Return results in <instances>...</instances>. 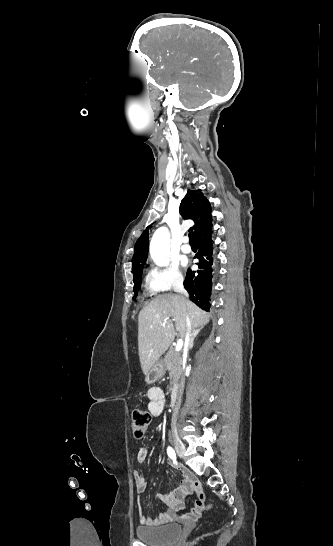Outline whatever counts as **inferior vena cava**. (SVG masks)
<instances>
[{
    "label": "inferior vena cava",
    "mask_w": 333,
    "mask_h": 546,
    "mask_svg": "<svg viewBox=\"0 0 333 546\" xmlns=\"http://www.w3.org/2000/svg\"><path fill=\"white\" fill-rule=\"evenodd\" d=\"M174 291L188 297V293L184 289L182 282H176L174 284ZM191 336H192V327H191L190 322L187 320L185 337H184V340H185L184 351L185 352H187L188 349H189ZM183 387H184V374H183V376L181 378L180 393H182ZM179 406H180V400L178 401L176 407L174 408L173 414H172L171 427H172L173 432L176 431V421H177Z\"/></svg>",
    "instance_id": "obj_1"
}]
</instances>
